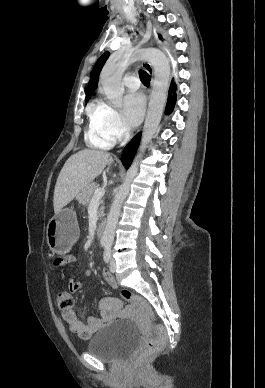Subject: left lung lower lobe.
<instances>
[{
	"mask_svg": "<svg viewBox=\"0 0 265 388\" xmlns=\"http://www.w3.org/2000/svg\"><path fill=\"white\" fill-rule=\"evenodd\" d=\"M176 90H177V85L172 80L171 86H170V89H169L168 101H167L166 109H165V113L166 114H170L173 111V109H174V106H175V103H176Z\"/></svg>",
	"mask_w": 265,
	"mask_h": 388,
	"instance_id": "obj_1",
	"label": "left lung lower lobe"
}]
</instances>
